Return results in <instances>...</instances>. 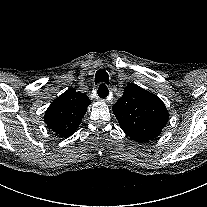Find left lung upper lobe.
Wrapping results in <instances>:
<instances>
[{
    "mask_svg": "<svg viewBox=\"0 0 207 207\" xmlns=\"http://www.w3.org/2000/svg\"><path fill=\"white\" fill-rule=\"evenodd\" d=\"M112 110L121 129L137 142L158 137L169 119L161 99L133 83L125 87L123 96Z\"/></svg>",
    "mask_w": 207,
    "mask_h": 207,
    "instance_id": "obj_1",
    "label": "left lung upper lobe"
}]
</instances>
